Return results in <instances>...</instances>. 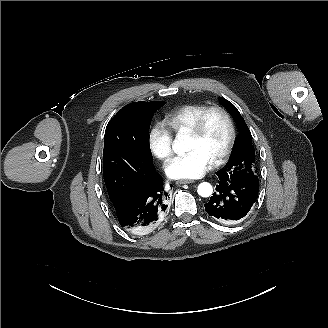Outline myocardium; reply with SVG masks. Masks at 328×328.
<instances>
[{
	"instance_id": "1",
	"label": "myocardium",
	"mask_w": 328,
	"mask_h": 328,
	"mask_svg": "<svg viewBox=\"0 0 328 328\" xmlns=\"http://www.w3.org/2000/svg\"><path fill=\"white\" fill-rule=\"evenodd\" d=\"M212 114H219L222 117H224V119L227 121L229 129H230L229 141H228V144H227L224 152L221 154V156L218 159H216L212 163L213 166L217 167V166H221V165L225 164L229 160V158L231 157V155L233 153V150L235 148L236 141H237V129H236L234 119H233L232 115L230 114V112L221 106L208 107L206 110H204L199 115V117L196 119L195 123L188 130L187 133L190 136L198 137L202 133L208 118Z\"/></svg>"
}]
</instances>
